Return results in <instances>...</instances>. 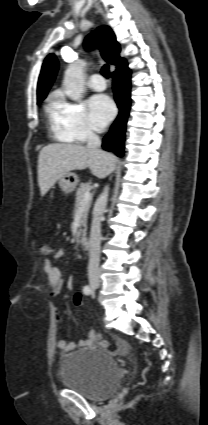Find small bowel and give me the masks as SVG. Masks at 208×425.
Here are the masks:
<instances>
[{"label":"small bowel","mask_w":208,"mask_h":425,"mask_svg":"<svg viewBox=\"0 0 208 425\" xmlns=\"http://www.w3.org/2000/svg\"><path fill=\"white\" fill-rule=\"evenodd\" d=\"M64 256L63 250H57L54 254L56 259L62 258ZM44 271L47 275L48 285H49V293L51 297H56L62 291L64 278L61 270L54 265L50 259H44ZM60 316L59 310H55V317L58 319ZM94 334L95 330H91L86 339L80 340L78 343L75 342H67L66 340L60 339L57 341V347L64 351L70 352L74 350L77 346H90L94 343ZM117 345L121 350L126 348V344L120 340H117Z\"/></svg>","instance_id":"1"}]
</instances>
